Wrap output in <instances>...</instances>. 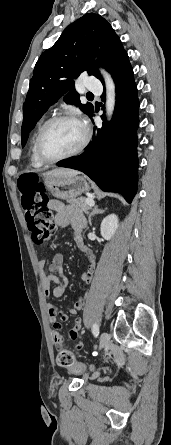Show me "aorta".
Returning a JSON list of instances; mask_svg holds the SVG:
<instances>
[{
	"mask_svg": "<svg viewBox=\"0 0 171 445\" xmlns=\"http://www.w3.org/2000/svg\"><path fill=\"white\" fill-rule=\"evenodd\" d=\"M101 74L106 85V115L108 119H110L115 107V84L111 76L105 70L101 69Z\"/></svg>",
	"mask_w": 171,
	"mask_h": 445,
	"instance_id": "obj_1",
	"label": "aorta"
}]
</instances>
